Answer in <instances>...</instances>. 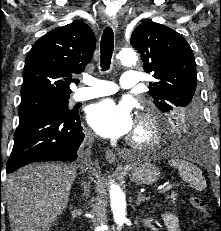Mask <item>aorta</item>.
Here are the masks:
<instances>
[{
    "label": "aorta",
    "instance_id": "1",
    "mask_svg": "<svg viewBox=\"0 0 221 231\" xmlns=\"http://www.w3.org/2000/svg\"><path fill=\"white\" fill-rule=\"evenodd\" d=\"M118 61L127 66L135 65L138 57L137 53L132 48H123L117 55ZM110 202L114 216V221L118 230H121L126 222V199L121 188L117 184L110 186Z\"/></svg>",
    "mask_w": 221,
    "mask_h": 231
}]
</instances>
